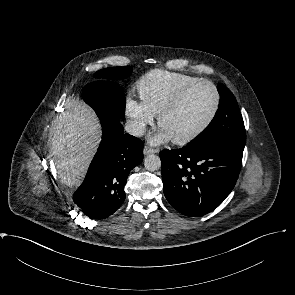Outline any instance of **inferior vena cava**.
Returning a JSON list of instances; mask_svg holds the SVG:
<instances>
[{
	"label": "inferior vena cava",
	"mask_w": 295,
	"mask_h": 295,
	"mask_svg": "<svg viewBox=\"0 0 295 295\" xmlns=\"http://www.w3.org/2000/svg\"><path fill=\"white\" fill-rule=\"evenodd\" d=\"M125 130L133 136H142L145 132V124L138 120H128L125 124Z\"/></svg>",
	"instance_id": "inferior-vena-cava-1"
}]
</instances>
